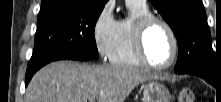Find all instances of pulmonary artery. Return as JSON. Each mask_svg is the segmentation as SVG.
Returning <instances> with one entry per match:
<instances>
[{"instance_id":"obj_1","label":"pulmonary artery","mask_w":221,"mask_h":102,"mask_svg":"<svg viewBox=\"0 0 221 102\" xmlns=\"http://www.w3.org/2000/svg\"><path fill=\"white\" fill-rule=\"evenodd\" d=\"M127 3H134L140 6H146V0H126Z\"/></svg>"}]
</instances>
